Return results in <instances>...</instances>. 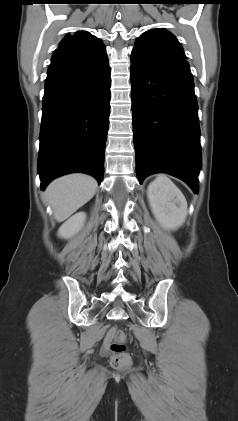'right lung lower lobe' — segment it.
<instances>
[{"instance_id":"obj_1","label":"right lung lower lobe","mask_w":238,"mask_h":421,"mask_svg":"<svg viewBox=\"0 0 238 421\" xmlns=\"http://www.w3.org/2000/svg\"><path fill=\"white\" fill-rule=\"evenodd\" d=\"M110 86L107 56L50 64L38 158L42 190L54 178L73 172L102 182Z\"/></svg>"}]
</instances>
